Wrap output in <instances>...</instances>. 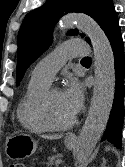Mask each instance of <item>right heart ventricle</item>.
<instances>
[{
    "instance_id": "e07e8e85",
    "label": "right heart ventricle",
    "mask_w": 125,
    "mask_h": 167,
    "mask_svg": "<svg viewBox=\"0 0 125 167\" xmlns=\"http://www.w3.org/2000/svg\"><path fill=\"white\" fill-rule=\"evenodd\" d=\"M49 84L31 77L25 95L17 108V119L21 126L34 134H42L48 129L40 122L37 106Z\"/></svg>"
}]
</instances>
